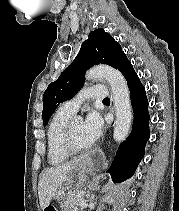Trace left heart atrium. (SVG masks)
<instances>
[{
    "instance_id": "39dd6f15",
    "label": "left heart atrium",
    "mask_w": 179,
    "mask_h": 211,
    "mask_svg": "<svg viewBox=\"0 0 179 211\" xmlns=\"http://www.w3.org/2000/svg\"><path fill=\"white\" fill-rule=\"evenodd\" d=\"M84 132L88 140L93 143L97 141L103 132V119L96 111H91L85 118Z\"/></svg>"
}]
</instances>
